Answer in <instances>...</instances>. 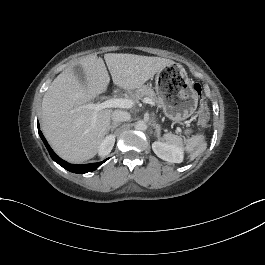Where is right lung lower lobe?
<instances>
[{
	"mask_svg": "<svg viewBox=\"0 0 265 265\" xmlns=\"http://www.w3.org/2000/svg\"><path fill=\"white\" fill-rule=\"evenodd\" d=\"M38 126V132L39 135L41 137V139L43 140L47 150L49 151V154L51 156V158L57 162L59 165H61L63 168L67 169L68 171H71L73 173H79V174H84L87 172H92L94 170H96L103 162H99V163H91V164H87V165H73V164H69L66 161L60 159L54 152L53 150L50 148L49 144L47 143L46 139L44 138L43 134L41 133L40 129H39V124H37Z\"/></svg>",
	"mask_w": 265,
	"mask_h": 265,
	"instance_id": "right-lung-lower-lobe-1",
	"label": "right lung lower lobe"
}]
</instances>
